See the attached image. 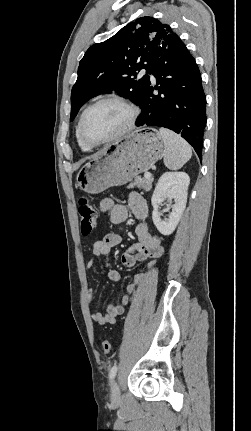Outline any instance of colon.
Masks as SVG:
<instances>
[{
	"label": "colon",
	"mask_w": 251,
	"mask_h": 431,
	"mask_svg": "<svg viewBox=\"0 0 251 431\" xmlns=\"http://www.w3.org/2000/svg\"><path fill=\"white\" fill-rule=\"evenodd\" d=\"M78 214L80 219V230L83 236H89L96 226V210L94 206L85 198L79 200ZM102 349L105 354L111 352V344L108 340L102 342Z\"/></svg>",
	"instance_id": "5ec220e1"
}]
</instances>
